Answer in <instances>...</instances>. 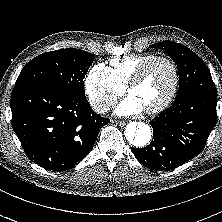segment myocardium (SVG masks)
Wrapping results in <instances>:
<instances>
[{
  "label": "myocardium",
  "mask_w": 222,
  "mask_h": 222,
  "mask_svg": "<svg viewBox=\"0 0 222 222\" xmlns=\"http://www.w3.org/2000/svg\"><path fill=\"white\" fill-rule=\"evenodd\" d=\"M156 62H165L171 67L173 72V83L170 92L160 104H158L155 107L145 109V112L148 114L159 113L165 110L170 105V103L173 101L174 97L177 94L180 81L179 68L176 62L173 59L166 56H155L150 60L146 61L145 63H143L132 75V77L129 79L127 83L128 92H131L132 88L142 81L147 70Z\"/></svg>",
  "instance_id": "f54148a6"
}]
</instances>
